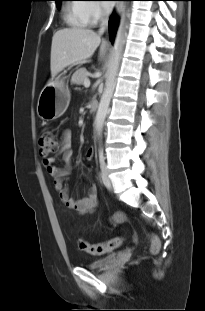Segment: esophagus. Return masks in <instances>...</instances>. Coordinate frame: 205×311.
Masks as SVG:
<instances>
[{"label":"esophagus","mask_w":205,"mask_h":311,"mask_svg":"<svg viewBox=\"0 0 205 311\" xmlns=\"http://www.w3.org/2000/svg\"><path fill=\"white\" fill-rule=\"evenodd\" d=\"M122 11H123V6L122 4L118 3L115 8V13L120 14Z\"/></svg>","instance_id":"34e87169"}]
</instances>
